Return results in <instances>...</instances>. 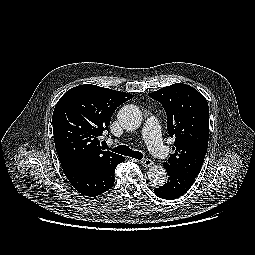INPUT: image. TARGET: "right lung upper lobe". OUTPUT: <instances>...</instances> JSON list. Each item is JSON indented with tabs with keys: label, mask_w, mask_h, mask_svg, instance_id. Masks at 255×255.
<instances>
[{
	"label": "right lung upper lobe",
	"mask_w": 255,
	"mask_h": 255,
	"mask_svg": "<svg viewBox=\"0 0 255 255\" xmlns=\"http://www.w3.org/2000/svg\"><path fill=\"white\" fill-rule=\"evenodd\" d=\"M131 98L126 92L86 84L68 90L59 99L52 123L62 168L104 167L122 157L104 151L99 138L108 131L116 108Z\"/></svg>",
	"instance_id": "1"
}]
</instances>
